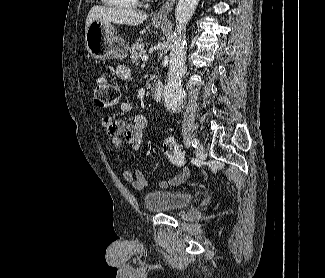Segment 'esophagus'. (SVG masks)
Wrapping results in <instances>:
<instances>
[{
    "label": "esophagus",
    "mask_w": 325,
    "mask_h": 278,
    "mask_svg": "<svg viewBox=\"0 0 325 278\" xmlns=\"http://www.w3.org/2000/svg\"><path fill=\"white\" fill-rule=\"evenodd\" d=\"M175 4V0H166L161 8L153 15L154 21H164L167 18V14L172 10Z\"/></svg>",
    "instance_id": "1"
}]
</instances>
